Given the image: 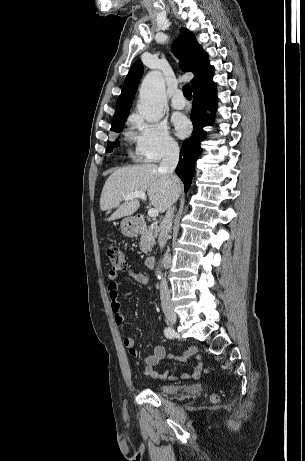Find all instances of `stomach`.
<instances>
[{
    "instance_id": "stomach-1",
    "label": "stomach",
    "mask_w": 305,
    "mask_h": 461,
    "mask_svg": "<svg viewBox=\"0 0 305 461\" xmlns=\"http://www.w3.org/2000/svg\"><path fill=\"white\" fill-rule=\"evenodd\" d=\"M121 232L124 236L132 238L139 232V227L133 217H126L120 223Z\"/></svg>"
}]
</instances>
